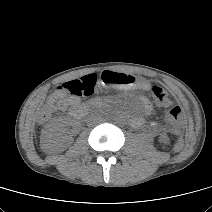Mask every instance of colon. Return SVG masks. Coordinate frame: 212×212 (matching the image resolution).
Instances as JSON below:
<instances>
[{"instance_id": "colon-1", "label": "colon", "mask_w": 212, "mask_h": 212, "mask_svg": "<svg viewBox=\"0 0 212 212\" xmlns=\"http://www.w3.org/2000/svg\"><path fill=\"white\" fill-rule=\"evenodd\" d=\"M98 74H88L81 78L65 82L57 87L56 97L60 98L63 95H70L73 97H89L95 94L98 85ZM151 92L156 103L168 109V118L174 123L179 124L182 118L181 107L175 105L169 98L168 94L161 87L153 85ZM57 107L56 102L48 103L39 112L38 119L40 122H45L51 116L52 111Z\"/></svg>"}]
</instances>
